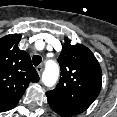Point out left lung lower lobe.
Wrapping results in <instances>:
<instances>
[{"mask_svg": "<svg viewBox=\"0 0 117 117\" xmlns=\"http://www.w3.org/2000/svg\"><path fill=\"white\" fill-rule=\"evenodd\" d=\"M50 107L59 115L61 116H73L78 114L77 111H75L74 109H72L71 107L62 104V103H54L51 101H48Z\"/></svg>", "mask_w": 117, "mask_h": 117, "instance_id": "obj_1", "label": "left lung lower lobe"}]
</instances>
